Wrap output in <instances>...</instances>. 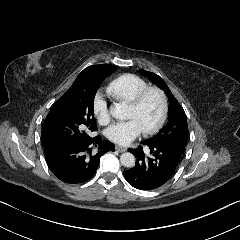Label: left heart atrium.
Returning <instances> with one entry per match:
<instances>
[{
  "label": "left heart atrium",
  "mask_w": 240,
  "mask_h": 240,
  "mask_svg": "<svg viewBox=\"0 0 240 240\" xmlns=\"http://www.w3.org/2000/svg\"><path fill=\"white\" fill-rule=\"evenodd\" d=\"M142 129L139 124L130 119L126 122L117 123L111 126L106 131V137L119 145H127L133 141L140 133Z\"/></svg>",
  "instance_id": "1"
}]
</instances>
